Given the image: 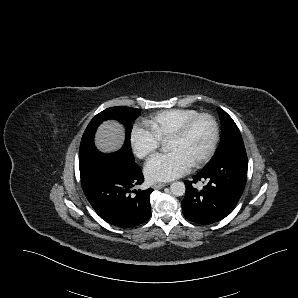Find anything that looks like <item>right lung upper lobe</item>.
<instances>
[{
	"label": "right lung upper lobe",
	"mask_w": 298,
	"mask_h": 298,
	"mask_svg": "<svg viewBox=\"0 0 298 298\" xmlns=\"http://www.w3.org/2000/svg\"><path fill=\"white\" fill-rule=\"evenodd\" d=\"M109 155H112V157H108V158H102V157H100V158H98L97 159V165H98V162H100L101 160H111V159H114V158L119 159L117 156L114 155V153L113 154H109Z\"/></svg>",
	"instance_id": "obj_1"
}]
</instances>
